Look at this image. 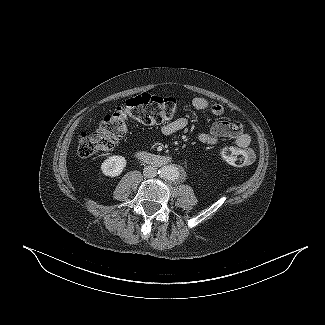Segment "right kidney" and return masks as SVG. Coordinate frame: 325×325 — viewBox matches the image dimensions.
<instances>
[{
    "mask_svg": "<svg viewBox=\"0 0 325 325\" xmlns=\"http://www.w3.org/2000/svg\"><path fill=\"white\" fill-rule=\"evenodd\" d=\"M127 161L123 156L113 155L108 157L101 165L102 173L105 176H119L126 167Z\"/></svg>",
    "mask_w": 325,
    "mask_h": 325,
    "instance_id": "obj_1",
    "label": "right kidney"
}]
</instances>
